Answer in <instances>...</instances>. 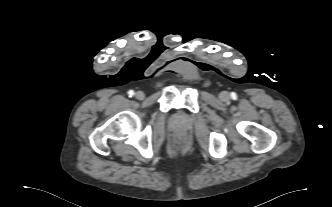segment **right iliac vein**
<instances>
[{
	"label": "right iliac vein",
	"instance_id": "1",
	"mask_svg": "<svg viewBox=\"0 0 332 207\" xmlns=\"http://www.w3.org/2000/svg\"><path fill=\"white\" fill-rule=\"evenodd\" d=\"M135 97H136L138 100H143L144 97H145V94H144L142 91H137L136 94H135Z\"/></svg>",
	"mask_w": 332,
	"mask_h": 207
}]
</instances>
